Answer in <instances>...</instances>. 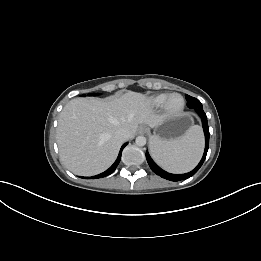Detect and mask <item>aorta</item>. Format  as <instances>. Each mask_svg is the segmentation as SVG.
Returning <instances> with one entry per match:
<instances>
[{
	"label": "aorta",
	"instance_id": "aorta-1",
	"mask_svg": "<svg viewBox=\"0 0 261 261\" xmlns=\"http://www.w3.org/2000/svg\"><path fill=\"white\" fill-rule=\"evenodd\" d=\"M146 138L144 136H138L135 140L137 146H144L146 144Z\"/></svg>",
	"mask_w": 261,
	"mask_h": 261
}]
</instances>
